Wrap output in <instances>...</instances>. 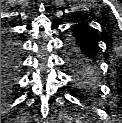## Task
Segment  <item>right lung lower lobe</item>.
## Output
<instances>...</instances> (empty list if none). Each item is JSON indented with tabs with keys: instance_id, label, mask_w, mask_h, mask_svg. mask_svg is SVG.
<instances>
[{
	"instance_id": "98d812e1",
	"label": "right lung lower lobe",
	"mask_w": 122,
	"mask_h": 123,
	"mask_svg": "<svg viewBox=\"0 0 122 123\" xmlns=\"http://www.w3.org/2000/svg\"><path fill=\"white\" fill-rule=\"evenodd\" d=\"M22 52L20 45L11 39H1V95H13L20 73Z\"/></svg>"
}]
</instances>
